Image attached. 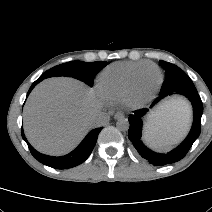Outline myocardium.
Here are the masks:
<instances>
[{"instance_id":"1","label":"myocardium","mask_w":212,"mask_h":212,"mask_svg":"<svg viewBox=\"0 0 212 212\" xmlns=\"http://www.w3.org/2000/svg\"><path fill=\"white\" fill-rule=\"evenodd\" d=\"M154 69L157 72V83L149 90L142 91L141 89V77L145 70ZM162 81V72L155 64L140 68L133 76L130 88L125 97V103L131 108H141L146 105L155 95L159 85Z\"/></svg>"}]
</instances>
